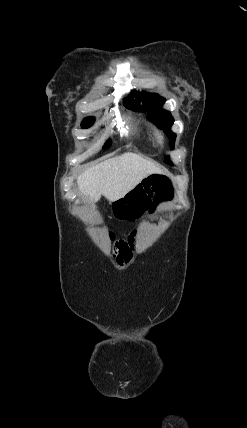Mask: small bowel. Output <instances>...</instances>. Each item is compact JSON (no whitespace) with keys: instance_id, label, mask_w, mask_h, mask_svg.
I'll list each match as a JSON object with an SVG mask.
<instances>
[{"instance_id":"small-bowel-1","label":"small bowel","mask_w":247,"mask_h":428,"mask_svg":"<svg viewBox=\"0 0 247 428\" xmlns=\"http://www.w3.org/2000/svg\"><path fill=\"white\" fill-rule=\"evenodd\" d=\"M130 258H131V251L128 249L126 252L120 253V255L118 256V261L127 262L130 260Z\"/></svg>"}]
</instances>
